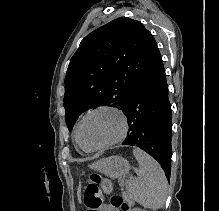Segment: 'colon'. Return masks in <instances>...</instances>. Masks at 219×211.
<instances>
[{"label": "colon", "mask_w": 219, "mask_h": 211, "mask_svg": "<svg viewBox=\"0 0 219 211\" xmlns=\"http://www.w3.org/2000/svg\"><path fill=\"white\" fill-rule=\"evenodd\" d=\"M90 181L93 184L101 185L105 192H110L111 184L109 181L103 179L98 173H92L90 176ZM111 204L115 208H119L122 211H129V204L120 195H113L111 197Z\"/></svg>", "instance_id": "5ec220e1"}]
</instances>
